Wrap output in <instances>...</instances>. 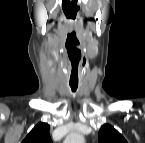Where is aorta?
Masks as SVG:
<instances>
[{
  "label": "aorta",
  "mask_w": 145,
  "mask_h": 143,
  "mask_svg": "<svg viewBox=\"0 0 145 143\" xmlns=\"http://www.w3.org/2000/svg\"><path fill=\"white\" fill-rule=\"evenodd\" d=\"M84 138L78 133H72L68 135L65 139V143H83Z\"/></svg>",
  "instance_id": "762f6f07"
}]
</instances>
